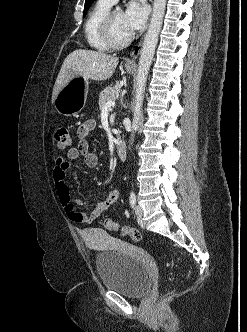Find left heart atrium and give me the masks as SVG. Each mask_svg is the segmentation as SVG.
I'll use <instances>...</instances> for the list:
<instances>
[{
  "label": "left heart atrium",
  "instance_id": "39dd6f15",
  "mask_svg": "<svg viewBox=\"0 0 247 332\" xmlns=\"http://www.w3.org/2000/svg\"><path fill=\"white\" fill-rule=\"evenodd\" d=\"M147 10L139 3H130L123 13V23L127 30L132 33L140 30L146 23Z\"/></svg>",
  "mask_w": 247,
  "mask_h": 332
}]
</instances>
